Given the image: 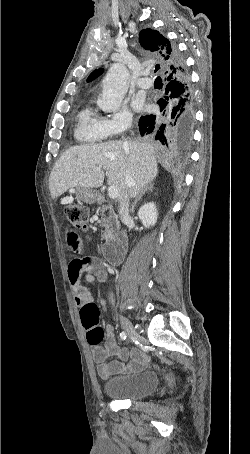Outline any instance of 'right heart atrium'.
<instances>
[{
    "instance_id": "right-heart-atrium-1",
    "label": "right heart atrium",
    "mask_w": 250,
    "mask_h": 454,
    "mask_svg": "<svg viewBox=\"0 0 250 454\" xmlns=\"http://www.w3.org/2000/svg\"><path fill=\"white\" fill-rule=\"evenodd\" d=\"M132 122L131 113L122 109L109 118H102L101 125L105 136L116 137L126 132L131 127Z\"/></svg>"
}]
</instances>
